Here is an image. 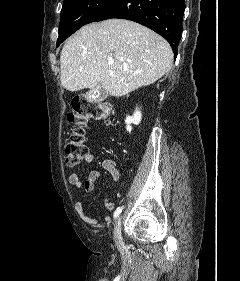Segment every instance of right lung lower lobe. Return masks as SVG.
I'll list each match as a JSON object with an SVG mask.
<instances>
[{
    "label": "right lung lower lobe",
    "instance_id": "right-lung-lower-lobe-1",
    "mask_svg": "<svg viewBox=\"0 0 240 281\" xmlns=\"http://www.w3.org/2000/svg\"><path fill=\"white\" fill-rule=\"evenodd\" d=\"M184 10V0H116L94 22L110 18L135 21L163 36L177 54Z\"/></svg>",
    "mask_w": 240,
    "mask_h": 281
}]
</instances>
